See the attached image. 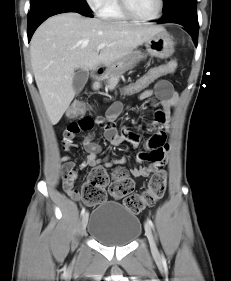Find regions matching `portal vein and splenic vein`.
<instances>
[{
  "label": "portal vein and splenic vein",
  "mask_w": 231,
  "mask_h": 281,
  "mask_svg": "<svg viewBox=\"0 0 231 281\" xmlns=\"http://www.w3.org/2000/svg\"><path fill=\"white\" fill-rule=\"evenodd\" d=\"M105 46H106V44H100V45L97 47V50L99 51V50L103 49Z\"/></svg>",
  "instance_id": "18ae733b"
}]
</instances>
